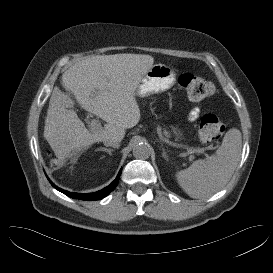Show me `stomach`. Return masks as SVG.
<instances>
[{"mask_svg":"<svg viewBox=\"0 0 273 273\" xmlns=\"http://www.w3.org/2000/svg\"><path fill=\"white\" fill-rule=\"evenodd\" d=\"M176 80L175 70L165 64L153 65L140 80L135 95L139 97H147L156 93H160L170 89ZM176 135H179L174 130Z\"/></svg>","mask_w":273,"mask_h":273,"instance_id":"stomach-1","label":"stomach"}]
</instances>
